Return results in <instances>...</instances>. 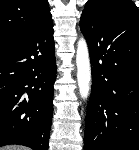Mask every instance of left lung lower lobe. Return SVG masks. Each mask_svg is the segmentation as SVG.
Segmentation results:
<instances>
[{
	"instance_id": "obj_1",
	"label": "left lung lower lobe",
	"mask_w": 139,
	"mask_h": 150,
	"mask_svg": "<svg viewBox=\"0 0 139 150\" xmlns=\"http://www.w3.org/2000/svg\"><path fill=\"white\" fill-rule=\"evenodd\" d=\"M80 28L92 67L84 150H139V11L85 8Z\"/></svg>"
}]
</instances>
